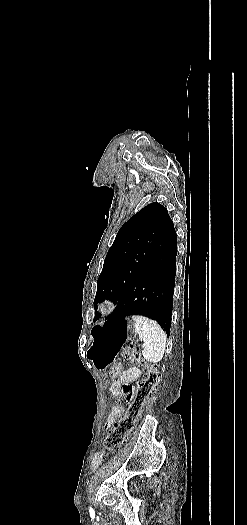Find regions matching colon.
<instances>
[{
    "mask_svg": "<svg viewBox=\"0 0 247 525\" xmlns=\"http://www.w3.org/2000/svg\"><path fill=\"white\" fill-rule=\"evenodd\" d=\"M131 356L137 365H142L145 368V376L139 382L136 393L132 396H127V410L126 413L115 422L111 427L109 433L104 440V448L106 450L115 449L123 444L127 438L132 434L135 423L140 417L143 408L150 398L151 394L157 390L160 384V375L157 366L154 364H147L141 357L139 351L136 349V344L131 343L125 357ZM123 370L119 366L112 368L110 376L112 378L119 377Z\"/></svg>",
    "mask_w": 247,
    "mask_h": 525,
    "instance_id": "colon-1",
    "label": "colon"
}]
</instances>
